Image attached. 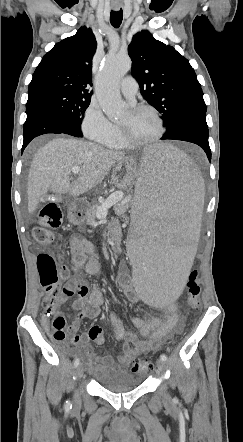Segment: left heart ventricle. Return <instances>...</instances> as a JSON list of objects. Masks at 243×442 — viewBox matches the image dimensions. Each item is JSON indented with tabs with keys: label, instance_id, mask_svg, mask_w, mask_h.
<instances>
[{
	"label": "left heart ventricle",
	"instance_id": "1",
	"mask_svg": "<svg viewBox=\"0 0 243 442\" xmlns=\"http://www.w3.org/2000/svg\"><path fill=\"white\" fill-rule=\"evenodd\" d=\"M119 124L125 127L128 136L134 141L151 139L158 132V122L150 111L133 113L129 110Z\"/></svg>",
	"mask_w": 243,
	"mask_h": 442
}]
</instances>
